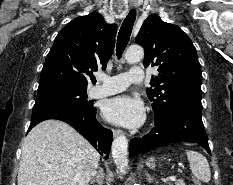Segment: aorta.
<instances>
[{"label":"aorta","mask_w":233,"mask_h":185,"mask_svg":"<svg viewBox=\"0 0 233 185\" xmlns=\"http://www.w3.org/2000/svg\"><path fill=\"white\" fill-rule=\"evenodd\" d=\"M144 50L140 46H130L125 53V59L128 63H136L143 59ZM112 157L114 163L120 171L125 172L128 168V140L126 136L120 135L113 140Z\"/></svg>","instance_id":"1"}]
</instances>
